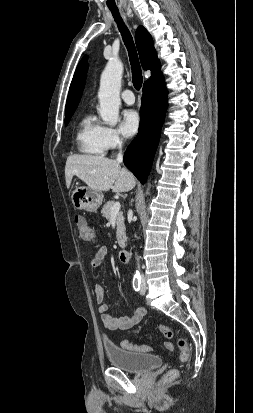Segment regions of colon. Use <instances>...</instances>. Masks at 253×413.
Here are the masks:
<instances>
[{"mask_svg":"<svg viewBox=\"0 0 253 413\" xmlns=\"http://www.w3.org/2000/svg\"><path fill=\"white\" fill-rule=\"evenodd\" d=\"M75 222L78 228L80 239L87 243L93 242V239H94L93 232L91 228L89 227V225L87 224V222L85 221V219L80 215H76ZM159 330L162 333V335L167 339H172L174 337L173 330L166 325H159ZM121 345L125 349L135 350L139 352L151 351V347L148 345H135V344H132L128 340H123L121 342ZM177 347L180 351L181 361H187L190 356V351H189L187 341L184 338H179L177 340ZM166 348L168 350H172L173 346L171 343H166ZM177 375H178V371L176 369H172L165 374V376L163 377V381L170 382L174 380L177 377Z\"/></svg>","mask_w":253,"mask_h":413,"instance_id":"5ec220e1","label":"colon"}]
</instances>
